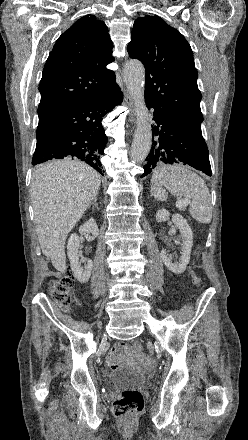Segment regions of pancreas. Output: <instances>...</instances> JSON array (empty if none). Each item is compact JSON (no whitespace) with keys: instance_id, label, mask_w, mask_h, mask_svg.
<instances>
[{"instance_id":"pancreas-1","label":"pancreas","mask_w":248,"mask_h":440,"mask_svg":"<svg viewBox=\"0 0 248 440\" xmlns=\"http://www.w3.org/2000/svg\"><path fill=\"white\" fill-rule=\"evenodd\" d=\"M180 211H184V207L177 206Z\"/></svg>"}]
</instances>
